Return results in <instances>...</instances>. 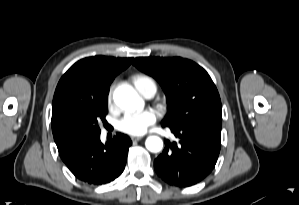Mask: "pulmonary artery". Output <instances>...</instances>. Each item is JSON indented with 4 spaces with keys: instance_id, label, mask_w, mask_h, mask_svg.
<instances>
[{
    "instance_id": "e3ab8cb5",
    "label": "pulmonary artery",
    "mask_w": 299,
    "mask_h": 205,
    "mask_svg": "<svg viewBox=\"0 0 299 205\" xmlns=\"http://www.w3.org/2000/svg\"><path fill=\"white\" fill-rule=\"evenodd\" d=\"M156 93V88L153 85H148L143 93L146 98H151Z\"/></svg>"
}]
</instances>
